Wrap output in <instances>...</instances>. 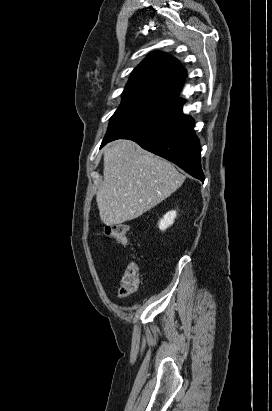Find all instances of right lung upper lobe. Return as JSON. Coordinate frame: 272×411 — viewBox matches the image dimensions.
Here are the masks:
<instances>
[{
	"mask_svg": "<svg viewBox=\"0 0 272 411\" xmlns=\"http://www.w3.org/2000/svg\"><path fill=\"white\" fill-rule=\"evenodd\" d=\"M186 70L178 60L163 52H155L145 58L132 72L124 92L150 94L165 103L183 107L184 100L178 98Z\"/></svg>",
	"mask_w": 272,
	"mask_h": 411,
	"instance_id": "obj_1",
	"label": "right lung upper lobe"
}]
</instances>
